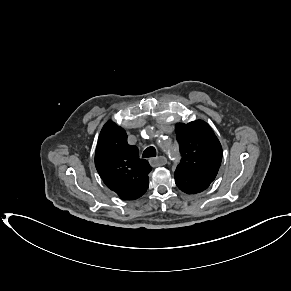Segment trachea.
Listing matches in <instances>:
<instances>
[{"label":"trachea","instance_id":"1","mask_svg":"<svg viewBox=\"0 0 291 291\" xmlns=\"http://www.w3.org/2000/svg\"><path fill=\"white\" fill-rule=\"evenodd\" d=\"M156 156V149L154 147H148L144 150L142 157H155Z\"/></svg>","mask_w":291,"mask_h":291}]
</instances>
